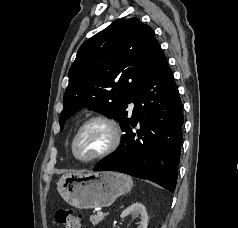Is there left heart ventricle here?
Wrapping results in <instances>:
<instances>
[{
    "label": "left heart ventricle",
    "mask_w": 238,
    "mask_h": 228,
    "mask_svg": "<svg viewBox=\"0 0 238 228\" xmlns=\"http://www.w3.org/2000/svg\"><path fill=\"white\" fill-rule=\"evenodd\" d=\"M110 142V133L103 124L95 123L83 130L76 144L80 158H91L102 152Z\"/></svg>",
    "instance_id": "obj_1"
}]
</instances>
